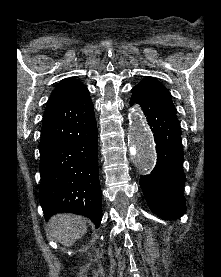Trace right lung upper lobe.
Instances as JSON below:
<instances>
[{"label":"right lung upper lobe","instance_id":"obj_1","mask_svg":"<svg viewBox=\"0 0 221 277\" xmlns=\"http://www.w3.org/2000/svg\"><path fill=\"white\" fill-rule=\"evenodd\" d=\"M87 90V88L75 78L64 79L52 92L49 102L74 96Z\"/></svg>","mask_w":221,"mask_h":277}]
</instances>
